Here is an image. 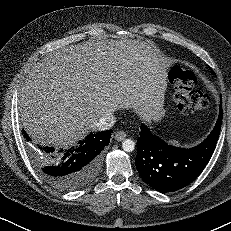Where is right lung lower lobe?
<instances>
[{
  "instance_id": "98d812e1",
  "label": "right lung lower lobe",
  "mask_w": 231,
  "mask_h": 231,
  "mask_svg": "<svg viewBox=\"0 0 231 231\" xmlns=\"http://www.w3.org/2000/svg\"><path fill=\"white\" fill-rule=\"evenodd\" d=\"M112 131L89 134L76 145L56 150L52 147L32 148L34 163L41 176L59 190L73 191L91 182L101 168L103 149L109 145ZM26 141L30 137L23 129Z\"/></svg>"
}]
</instances>
